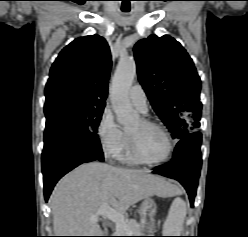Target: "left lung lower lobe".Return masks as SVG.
<instances>
[{
	"mask_svg": "<svg viewBox=\"0 0 248 237\" xmlns=\"http://www.w3.org/2000/svg\"><path fill=\"white\" fill-rule=\"evenodd\" d=\"M201 133H191L180 139L174 150L172 160L153 173L160 174L178 180L188 192L191 206L198 184L201 169Z\"/></svg>",
	"mask_w": 248,
	"mask_h": 237,
	"instance_id": "0a47b994",
	"label": "left lung lower lobe"
}]
</instances>
